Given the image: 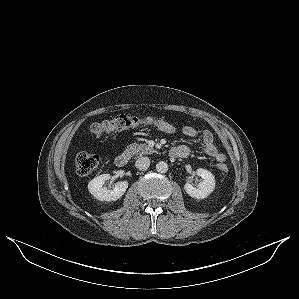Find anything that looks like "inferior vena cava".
I'll list each match as a JSON object with an SVG mask.
<instances>
[{
	"label": "inferior vena cava",
	"mask_w": 299,
	"mask_h": 299,
	"mask_svg": "<svg viewBox=\"0 0 299 299\" xmlns=\"http://www.w3.org/2000/svg\"><path fill=\"white\" fill-rule=\"evenodd\" d=\"M135 165L139 170H146L150 166V159L147 156L140 157L137 159Z\"/></svg>",
	"instance_id": "inferior-vena-cava-1"
}]
</instances>
